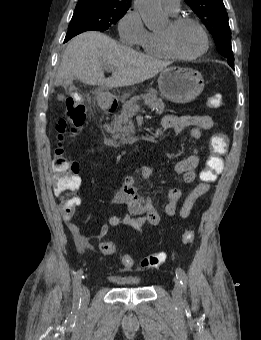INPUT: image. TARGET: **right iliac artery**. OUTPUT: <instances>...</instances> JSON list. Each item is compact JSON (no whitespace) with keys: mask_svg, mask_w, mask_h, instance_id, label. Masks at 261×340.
<instances>
[{"mask_svg":"<svg viewBox=\"0 0 261 340\" xmlns=\"http://www.w3.org/2000/svg\"><path fill=\"white\" fill-rule=\"evenodd\" d=\"M83 271L80 269L75 273L73 287H74V299L73 306L76 309H79L81 304V279H82Z\"/></svg>","mask_w":261,"mask_h":340,"instance_id":"1","label":"right iliac artery"}]
</instances>
